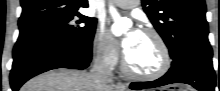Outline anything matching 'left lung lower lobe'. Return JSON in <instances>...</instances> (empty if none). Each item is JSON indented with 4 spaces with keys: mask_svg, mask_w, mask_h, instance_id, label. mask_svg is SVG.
Masks as SVG:
<instances>
[{
    "mask_svg": "<svg viewBox=\"0 0 220 91\" xmlns=\"http://www.w3.org/2000/svg\"><path fill=\"white\" fill-rule=\"evenodd\" d=\"M210 45L185 47L172 59L170 70L161 78L150 82H133V90L154 88L172 83H185L199 91H214L216 85ZM220 87V72H219Z\"/></svg>",
    "mask_w": 220,
    "mask_h": 91,
    "instance_id": "0a47b994",
    "label": "left lung lower lobe"
}]
</instances>
